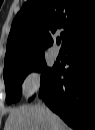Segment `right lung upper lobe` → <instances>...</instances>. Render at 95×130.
<instances>
[{
    "instance_id": "obj_1",
    "label": "right lung upper lobe",
    "mask_w": 95,
    "mask_h": 130,
    "mask_svg": "<svg viewBox=\"0 0 95 130\" xmlns=\"http://www.w3.org/2000/svg\"><path fill=\"white\" fill-rule=\"evenodd\" d=\"M60 30L62 48L95 31V0H28L13 21L4 71L44 58Z\"/></svg>"
}]
</instances>
